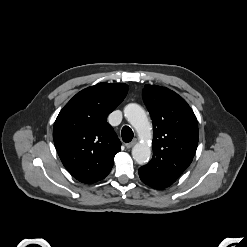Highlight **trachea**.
I'll return each instance as SVG.
<instances>
[{"mask_svg": "<svg viewBox=\"0 0 247 247\" xmlns=\"http://www.w3.org/2000/svg\"><path fill=\"white\" fill-rule=\"evenodd\" d=\"M121 136H122V140L128 143L133 139L134 133L130 127L124 126L121 131Z\"/></svg>", "mask_w": 247, "mask_h": 247, "instance_id": "3493384b", "label": "trachea"}]
</instances>
